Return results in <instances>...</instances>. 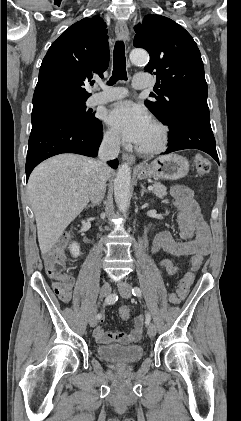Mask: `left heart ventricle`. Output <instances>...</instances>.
I'll return each instance as SVG.
<instances>
[{"label":"left heart ventricle","instance_id":"1","mask_svg":"<svg viewBox=\"0 0 241 421\" xmlns=\"http://www.w3.org/2000/svg\"><path fill=\"white\" fill-rule=\"evenodd\" d=\"M158 139H159L158 130L152 124L149 130L147 131L144 139L138 145L142 147L154 146L158 142Z\"/></svg>","mask_w":241,"mask_h":421}]
</instances>
